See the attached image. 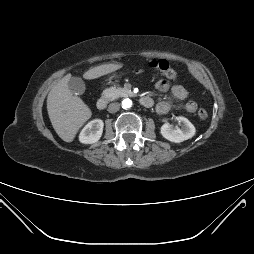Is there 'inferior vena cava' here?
Listing matches in <instances>:
<instances>
[{
	"instance_id": "inferior-vena-cava-1",
	"label": "inferior vena cava",
	"mask_w": 254,
	"mask_h": 254,
	"mask_svg": "<svg viewBox=\"0 0 254 254\" xmlns=\"http://www.w3.org/2000/svg\"><path fill=\"white\" fill-rule=\"evenodd\" d=\"M120 109V104L118 102H114L109 104L108 106V112L115 113Z\"/></svg>"
}]
</instances>
